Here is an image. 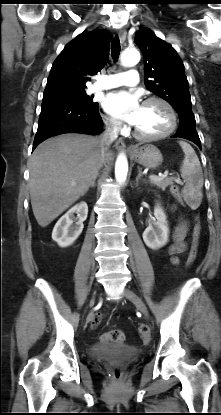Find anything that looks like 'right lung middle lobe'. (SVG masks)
Listing matches in <instances>:
<instances>
[{
  "label": "right lung middle lobe",
  "mask_w": 221,
  "mask_h": 415,
  "mask_svg": "<svg viewBox=\"0 0 221 415\" xmlns=\"http://www.w3.org/2000/svg\"><path fill=\"white\" fill-rule=\"evenodd\" d=\"M93 97H90L86 94L84 89H72V90H63L56 91L48 94H44L43 101L45 100H63L70 101L73 103L96 107L98 106L97 102H93Z\"/></svg>",
  "instance_id": "dd1d6c3e"
}]
</instances>
